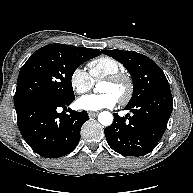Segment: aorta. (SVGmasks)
<instances>
[{
  "mask_svg": "<svg viewBox=\"0 0 193 193\" xmlns=\"http://www.w3.org/2000/svg\"><path fill=\"white\" fill-rule=\"evenodd\" d=\"M98 121L104 126H109L113 122V115L108 111H103L98 115Z\"/></svg>",
  "mask_w": 193,
  "mask_h": 193,
  "instance_id": "1",
  "label": "aorta"
}]
</instances>
